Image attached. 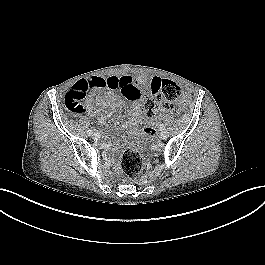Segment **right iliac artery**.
I'll return each instance as SVG.
<instances>
[{
    "label": "right iliac artery",
    "mask_w": 265,
    "mask_h": 265,
    "mask_svg": "<svg viewBox=\"0 0 265 265\" xmlns=\"http://www.w3.org/2000/svg\"><path fill=\"white\" fill-rule=\"evenodd\" d=\"M87 134H88V136H91V135L93 134V131H92L91 129H89V130L87 131Z\"/></svg>",
    "instance_id": "82829eb1"
}]
</instances>
